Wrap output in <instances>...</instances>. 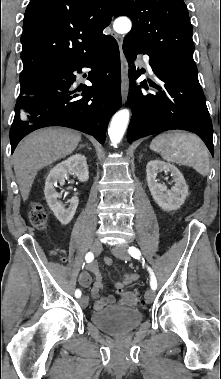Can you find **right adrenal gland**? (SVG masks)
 Returning a JSON list of instances; mask_svg holds the SVG:
<instances>
[{"instance_id":"obj_1","label":"right adrenal gland","mask_w":221,"mask_h":379,"mask_svg":"<svg viewBox=\"0 0 221 379\" xmlns=\"http://www.w3.org/2000/svg\"><path fill=\"white\" fill-rule=\"evenodd\" d=\"M84 146H85V144H84V145H80V146H79V149H81V148L84 147Z\"/></svg>"}]
</instances>
